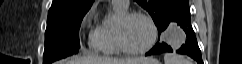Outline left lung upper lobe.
I'll list each match as a JSON object with an SVG mask.
<instances>
[{"instance_id": "left-lung-upper-lobe-1", "label": "left lung upper lobe", "mask_w": 242, "mask_h": 64, "mask_svg": "<svg viewBox=\"0 0 242 64\" xmlns=\"http://www.w3.org/2000/svg\"><path fill=\"white\" fill-rule=\"evenodd\" d=\"M149 12L158 28V41L170 22L190 15L189 0H135Z\"/></svg>"}]
</instances>
